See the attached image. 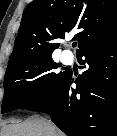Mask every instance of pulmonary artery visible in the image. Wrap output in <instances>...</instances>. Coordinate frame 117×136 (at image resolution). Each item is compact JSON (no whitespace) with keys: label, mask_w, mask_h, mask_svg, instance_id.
<instances>
[{"label":"pulmonary artery","mask_w":117,"mask_h":136,"mask_svg":"<svg viewBox=\"0 0 117 136\" xmlns=\"http://www.w3.org/2000/svg\"><path fill=\"white\" fill-rule=\"evenodd\" d=\"M62 60L64 63L69 64L73 61V55L70 51H64L62 53Z\"/></svg>","instance_id":"pulmonary-artery-1"}]
</instances>
